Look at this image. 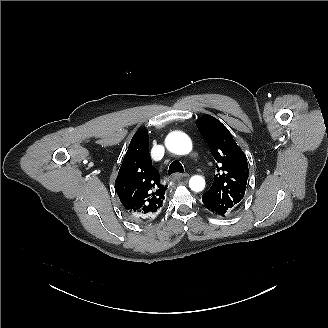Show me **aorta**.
I'll return each instance as SVG.
<instances>
[{
  "label": "aorta",
  "mask_w": 328,
  "mask_h": 328,
  "mask_svg": "<svg viewBox=\"0 0 328 328\" xmlns=\"http://www.w3.org/2000/svg\"><path fill=\"white\" fill-rule=\"evenodd\" d=\"M166 147L169 151L185 155L192 150V142L190 138L183 132H171L165 140ZM189 187L195 192H200L205 188V180L199 175L192 176L189 180Z\"/></svg>",
  "instance_id": "1"
}]
</instances>
